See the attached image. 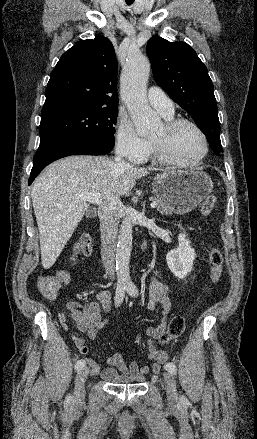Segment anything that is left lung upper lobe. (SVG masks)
Wrapping results in <instances>:
<instances>
[{
    "mask_svg": "<svg viewBox=\"0 0 257 439\" xmlns=\"http://www.w3.org/2000/svg\"><path fill=\"white\" fill-rule=\"evenodd\" d=\"M147 55L157 84L192 116L215 154L223 152L213 84L194 49L185 42L153 36Z\"/></svg>",
    "mask_w": 257,
    "mask_h": 439,
    "instance_id": "obj_1",
    "label": "left lung upper lobe"
}]
</instances>
